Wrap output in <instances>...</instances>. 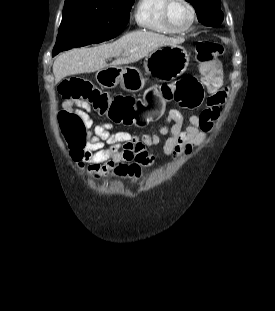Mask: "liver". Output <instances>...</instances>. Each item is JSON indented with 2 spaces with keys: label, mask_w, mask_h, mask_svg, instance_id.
<instances>
[{
  "label": "liver",
  "mask_w": 275,
  "mask_h": 311,
  "mask_svg": "<svg viewBox=\"0 0 275 311\" xmlns=\"http://www.w3.org/2000/svg\"><path fill=\"white\" fill-rule=\"evenodd\" d=\"M178 39L150 31H134L110 44L93 48L67 51L56 58L53 64L55 82L81 73H91L108 67L106 59L115 57L112 66L130 64L148 56L155 49L180 43Z\"/></svg>",
  "instance_id": "obj_1"
}]
</instances>
